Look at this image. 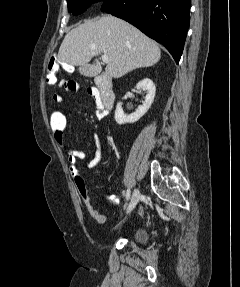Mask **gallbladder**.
Returning a JSON list of instances; mask_svg holds the SVG:
<instances>
[{"label":"gallbladder","instance_id":"gallbladder-1","mask_svg":"<svg viewBox=\"0 0 240 287\" xmlns=\"http://www.w3.org/2000/svg\"><path fill=\"white\" fill-rule=\"evenodd\" d=\"M100 65L96 64H85L79 66V73L86 77H95L100 73Z\"/></svg>","mask_w":240,"mask_h":287}]
</instances>
